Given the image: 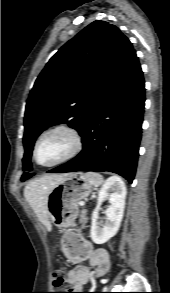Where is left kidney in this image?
<instances>
[{"instance_id": "left-kidney-1", "label": "left kidney", "mask_w": 170, "mask_h": 293, "mask_svg": "<svg viewBox=\"0 0 170 293\" xmlns=\"http://www.w3.org/2000/svg\"><path fill=\"white\" fill-rule=\"evenodd\" d=\"M111 191V193H109ZM126 186L121 178L110 177L99 190L97 206L92 214L90 236L95 244H103L119 230L124 213ZM109 199L110 206L105 211L106 223L99 226V210L101 204Z\"/></svg>"}]
</instances>
